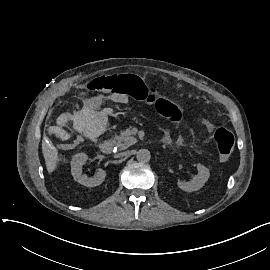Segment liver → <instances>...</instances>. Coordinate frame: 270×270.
Here are the masks:
<instances>
[{"mask_svg": "<svg viewBox=\"0 0 270 270\" xmlns=\"http://www.w3.org/2000/svg\"><path fill=\"white\" fill-rule=\"evenodd\" d=\"M42 152L45 158V163L47 171L52 173L56 168V163L58 161V151L57 149L49 144L42 143Z\"/></svg>", "mask_w": 270, "mask_h": 270, "instance_id": "obj_1", "label": "liver"}]
</instances>
